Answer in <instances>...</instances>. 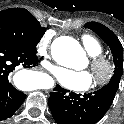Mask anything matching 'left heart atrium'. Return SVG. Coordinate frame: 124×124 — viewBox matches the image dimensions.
<instances>
[{
	"label": "left heart atrium",
	"mask_w": 124,
	"mask_h": 124,
	"mask_svg": "<svg viewBox=\"0 0 124 124\" xmlns=\"http://www.w3.org/2000/svg\"><path fill=\"white\" fill-rule=\"evenodd\" d=\"M54 75L61 85L71 90H86L93 82L91 73L86 70L56 69Z\"/></svg>",
	"instance_id": "39dd6f15"
}]
</instances>
